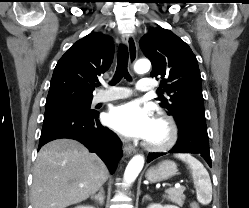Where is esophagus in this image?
I'll list each match as a JSON object with an SVG mask.
<instances>
[{"mask_svg":"<svg viewBox=\"0 0 249 208\" xmlns=\"http://www.w3.org/2000/svg\"><path fill=\"white\" fill-rule=\"evenodd\" d=\"M123 41L126 43V45L128 47L129 61H130V64L132 66L137 59V54H138L137 43H136L135 38L132 34L123 35ZM123 148H124V152L127 156H130L136 152V149L134 148V146L126 141L123 142Z\"/></svg>","mask_w":249,"mask_h":208,"instance_id":"1","label":"esophagus"}]
</instances>
